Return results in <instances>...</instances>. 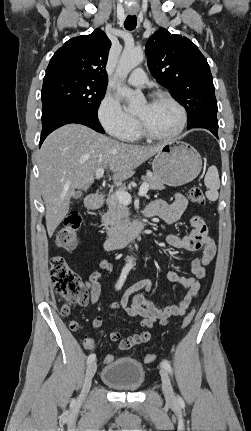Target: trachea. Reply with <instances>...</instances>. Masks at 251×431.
<instances>
[{"label":"trachea","instance_id":"trachea-1","mask_svg":"<svg viewBox=\"0 0 251 431\" xmlns=\"http://www.w3.org/2000/svg\"><path fill=\"white\" fill-rule=\"evenodd\" d=\"M137 25V18L135 15H128L125 22H124V27L127 30H134L136 28Z\"/></svg>","mask_w":251,"mask_h":431}]
</instances>
